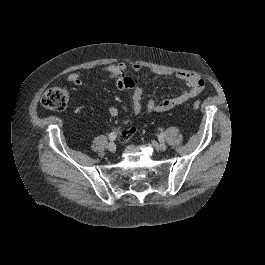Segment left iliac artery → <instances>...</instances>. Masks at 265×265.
I'll return each instance as SVG.
<instances>
[{
	"label": "left iliac artery",
	"mask_w": 265,
	"mask_h": 265,
	"mask_svg": "<svg viewBox=\"0 0 265 265\" xmlns=\"http://www.w3.org/2000/svg\"><path fill=\"white\" fill-rule=\"evenodd\" d=\"M164 137H165V134H164V133H161V134L159 135V139H160V140H164Z\"/></svg>",
	"instance_id": "1"
}]
</instances>
